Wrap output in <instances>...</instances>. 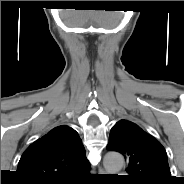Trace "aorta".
Instances as JSON below:
<instances>
[{"label":"aorta","instance_id":"obj_1","mask_svg":"<svg viewBox=\"0 0 184 184\" xmlns=\"http://www.w3.org/2000/svg\"><path fill=\"white\" fill-rule=\"evenodd\" d=\"M103 163L109 174H115L123 168L124 158L117 152H109L105 155Z\"/></svg>","mask_w":184,"mask_h":184}]
</instances>
